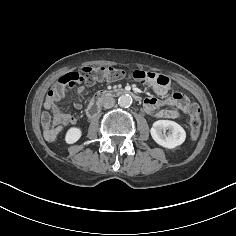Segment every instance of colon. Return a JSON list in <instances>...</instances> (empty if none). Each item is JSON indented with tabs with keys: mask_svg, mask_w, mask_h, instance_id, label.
<instances>
[{
	"mask_svg": "<svg viewBox=\"0 0 236 236\" xmlns=\"http://www.w3.org/2000/svg\"><path fill=\"white\" fill-rule=\"evenodd\" d=\"M125 76V72L121 69L107 66L82 67L77 71H72L62 76L54 85L51 93L60 98L64 95L67 88H73L79 86L81 83L92 85L97 81L108 80L117 81ZM132 77L137 81L146 82L148 75L141 71H134ZM200 107L196 103H192L188 107V113L190 116V138L192 141H196L199 136L201 119H200Z\"/></svg>",
	"mask_w": 236,
	"mask_h": 236,
	"instance_id": "1",
	"label": "colon"
}]
</instances>
